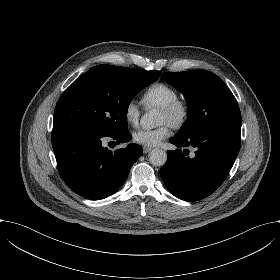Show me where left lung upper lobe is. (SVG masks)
I'll return each instance as SVG.
<instances>
[{
	"label": "left lung upper lobe",
	"mask_w": 280,
	"mask_h": 280,
	"mask_svg": "<svg viewBox=\"0 0 280 280\" xmlns=\"http://www.w3.org/2000/svg\"><path fill=\"white\" fill-rule=\"evenodd\" d=\"M160 81H166L182 92L187 102V120L177 136L187 137L210 127L241 123V114L234 95L212 72H166Z\"/></svg>",
	"instance_id": "obj_1"
}]
</instances>
